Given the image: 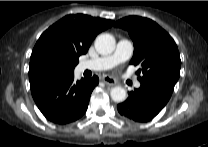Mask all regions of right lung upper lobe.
<instances>
[{"label": "right lung upper lobe", "instance_id": "1", "mask_svg": "<svg viewBox=\"0 0 208 147\" xmlns=\"http://www.w3.org/2000/svg\"><path fill=\"white\" fill-rule=\"evenodd\" d=\"M114 21L88 15H67L38 39L30 58V87L74 74L79 56L85 54L96 35Z\"/></svg>", "mask_w": 208, "mask_h": 147}]
</instances>
